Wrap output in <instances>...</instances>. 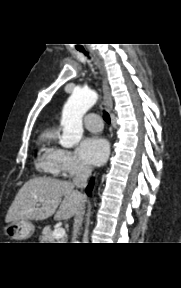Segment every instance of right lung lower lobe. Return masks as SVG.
<instances>
[{
	"instance_id": "1",
	"label": "right lung lower lobe",
	"mask_w": 181,
	"mask_h": 288,
	"mask_svg": "<svg viewBox=\"0 0 181 288\" xmlns=\"http://www.w3.org/2000/svg\"><path fill=\"white\" fill-rule=\"evenodd\" d=\"M93 184H94V179H91L89 185L87 186L86 188V192L88 195H91V191H92V188H93Z\"/></svg>"
}]
</instances>
